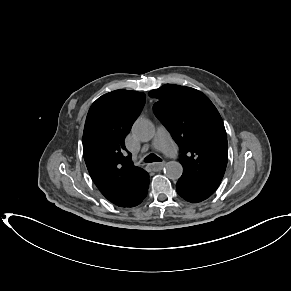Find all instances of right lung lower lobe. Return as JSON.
<instances>
[{
  "mask_svg": "<svg viewBox=\"0 0 291 291\" xmlns=\"http://www.w3.org/2000/svg\"><path fill=\"white\" fill-rule=\"evenodd\" d=\"M147 192H148V189H147V191H145V192H143V195H142V198L141 199H139V200H137V201H135V202H132V203H126V204H124V203H114L115 205H117V206H119V207H134V206H137V205H139L142 201H143V199L146 197V195H147Z\"/></svg>",
  "mask_w": 291,
  "mask_h": 291,
  "instance_id": "right-lung-lower-lobe-1",
  "label": "right lung lower lobe"
}]
</instances>
